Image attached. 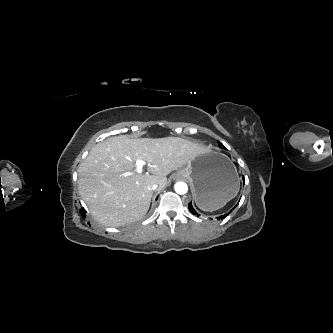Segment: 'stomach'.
Returning a JSON list of instances; mask_svg holds the SVG:
<instances>
[{
	"mask_svg": "<svg viewBox=\"0 0 333 333\" xmlns=\"http://www.w3.org/2000/svg\"><path fill=\"white\" fill-rule=\"evenodd\" d=\"M175 175L190 181L195 202L202 210L224 206L238 188L235 165L228 156L213 150L195 156Z\"/></svg>",
	"mask_w": 333,
	"mask_h": 333,
	"instance_id": "stomach-1",
	"label": "stomach"
}]
</instances>
